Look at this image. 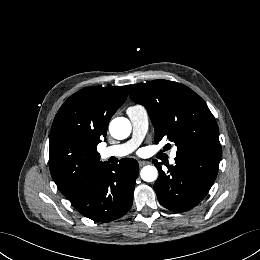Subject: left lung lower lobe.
I'll list each match as a JSON object with an SVG mask.
<instances>
[{
  "mask_svg": "<svg viewBox=\"0 0 260 260\" xmlns=\"http://www.w3.org/2000/svg\"><path fill=\"white\" fill-rule=\"evenodd\" d=\"M153 162L159 170L154 184L159 202L171 211L184 212L207 195L216 179L220 158L194 153L177 154L174 166L166 164V173L161 168L162 163Z\"/></svg>",
  "mask_w": 260,
  "mask_h": 260,
  "instance_id": "obj_1",
  "label": "left lung lower lobe"
}]
</instances>
